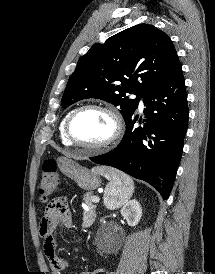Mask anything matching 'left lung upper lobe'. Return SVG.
<instances>
[{
    "mask_svg": "<svg viewBox=\"0 0 215 274\" xmlns=\"http://www.w3.org/2000/svg\"><path fill=\"white\" fill-rule=\"evenodd\" d=\"M181 68L169 36L153 25L138 24L96 43L70 76L61 104L98 98L120 106L130 117L148 89L162 84ZM135 94L129 99L126 94Z\"/></svg>",
    "mask_w": 215,
    "mask_h": 274,
    "instance_id": "obj_1",
    "label": "left lung upper lobe"
}]
</instances>
